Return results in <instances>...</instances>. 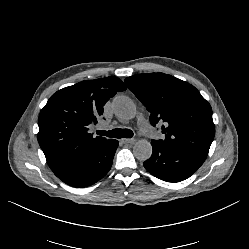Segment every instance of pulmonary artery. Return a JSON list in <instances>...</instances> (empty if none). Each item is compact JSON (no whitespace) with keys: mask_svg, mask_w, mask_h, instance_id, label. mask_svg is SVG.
Wrapping results in <instances>:
<instances>
[{"mask_svg":"<svg viewBox=\"0 0 249 249\" xmlns=\"http://www.w3.org/2000/svg\"><path fill=\"white\" fill-rule=\"evenodd\" d=\"M137 124L139 126V128L141 130H144L148 127V123L147 121L145 120V118L143 116H139L138 119H137ZM109 127V125L105 122H101L97 125V128L100 129V130H103V129H107Z\"/></svg>","mask_w":249,"mask_h":249,"instance_id":"pulmonary-artery-1","label":"pulmonary artery"}]
</instances>
